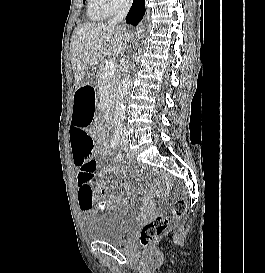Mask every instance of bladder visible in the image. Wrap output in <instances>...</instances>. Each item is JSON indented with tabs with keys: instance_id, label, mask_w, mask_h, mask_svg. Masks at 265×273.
<instances>
[{
	"instance_id": "obj_1",
	"label": "bladder",
	"mask_w": 265,
	"mask_h": 273,
	"mask_svg": "<svg viewBox=\"0 0 265 273\" xmlns=\"http://www.w3.org/2000/svg\"><path fill=\"white\" fill-rule=\"evenodd\" d=\"M138 215L127 208H115L98 213L89 223L86 234L90 239L119 246L135 234Z\"/></svg>"
}]
</instances>
